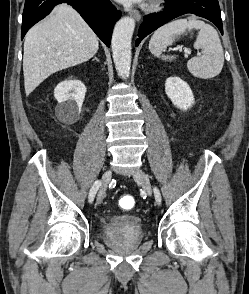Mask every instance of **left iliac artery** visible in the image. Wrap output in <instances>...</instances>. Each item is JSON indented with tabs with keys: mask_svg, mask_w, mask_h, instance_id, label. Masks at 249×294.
<instances>
[{
	"mask_svg": "<svg viewBox=\"0 0 249 294\" xmlns=\"http://www.w3.org/2000/svg\"><path fill=\"white\" fill-rule=\"evenodd\" d=\"M154 193H155V198H156V202L158 204L161 203V195H160V192L157 188H154Z\"/></svg>",
	"mask_w": 249,
	"mask_h": 294,
	"instance_id": "1",
	"label": "left iliac artery"
}]
</instances>
